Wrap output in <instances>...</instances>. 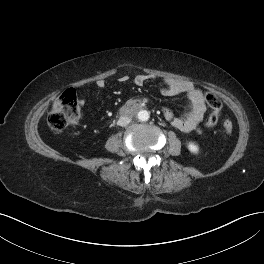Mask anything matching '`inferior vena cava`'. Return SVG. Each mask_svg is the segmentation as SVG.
<instances>
[{
  "label": "inferior vena cava",
  "mask_w": 264,
  "mask_h": 264,
  "mask_svg": "<svg viewBox=\"0 0 264 264\" xmlns=\"http://www.w3.org/2000/svg\"><path fill=\"white\" fill-rule=\"evenodd\" d=\"M131 122V118L121 116L117 122V125L119 126H126Z\"/></svg>",
  "instance_id": "602c4592"
}]
</instances>
